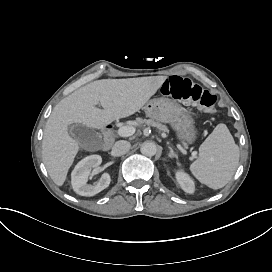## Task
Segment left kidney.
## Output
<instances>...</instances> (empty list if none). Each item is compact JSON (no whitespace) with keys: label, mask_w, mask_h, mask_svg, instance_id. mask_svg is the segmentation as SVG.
Listing matches in <instances>:
<instances>
[{"label":"left kidney","mask_w":272,"mask_h":272,"mask_svg":"<svg viewBox=\"0 0 272 272\" xmlns=\"http://www.w3.org/2000/svg\"><path fill=\"white\" fill-rule=\"evenodd\" d=\"M175 175L178 184L186 193L189 194L194 193L195 191L194 181L190 178V176L187 173L183 171H177Z\"/></svg>","instance_id":"5707ae66"}]
</instances>
